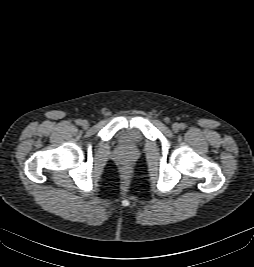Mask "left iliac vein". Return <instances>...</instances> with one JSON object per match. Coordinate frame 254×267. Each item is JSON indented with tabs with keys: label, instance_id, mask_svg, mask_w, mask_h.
<instances>
[{
	"label": "left iliac vein",
	"instance_id": "obj_1",
	"mask_svg": "<svg viewBox=\"0 0 254 267\" xmlns=\"http://www.w3.org/2000/svg\"><path fill=\"white\" fill-rule=\"evenodd\" d=\"M172 129H173L174 132H177L180 129V125L178 123H174L172 125Z\"/></svg>",
	"mask_w": 254,
	"mask_h": 267
}]
</instances>
